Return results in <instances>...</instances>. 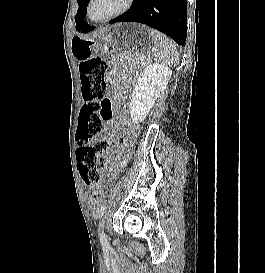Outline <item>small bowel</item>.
Wrapping results in <instances>:
<instances>
[{
	"label": "small bowel",
	"instance_id": "c3829d8e",
	"mask_svg": "<svg viewBox=\"0 0 265 273\" xmlns=\"http://www.w3.org/2000/svg\"><path fill=\"white\" fill-rule=\"evenodd\" d=\"M110 62H111L112 65H114L115 59L111 58ZM109 80L111 81V83H112L113 86L116 85V80L114 78L113 72H110V74H109ZM112 98L115 99V97H112ZM122 125L125 126V127L132 128L131 123L128 122V120L126 118L122 119ZM115 127H117V126H115ZM109 129H110V126H107L105 128L104 134H105L106 137L109 136ZM111 160H112V152L110 150H105L102 153V155H101V161L103 162L104 165H107V164H109L111 162ZM96 204H97L96 202L93 203V205H96Z\"/></svg>",
	"mask_w": 265,
	"mask_h": 273
}]
</instances>
